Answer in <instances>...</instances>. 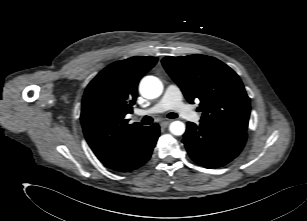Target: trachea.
I'll list each match as a JSON object with an SVG mask.
<instances>
[{
	"label": "trachea",
	"mask_w": 307,
	"mask_h": 221,
	"mask_svg": "<svg viewBox=\"0 0 307 221\" xmlns=\"http://www.w3.org/2000/svg\"><path fill=\"white\" fill-rule=\"evenodd\" d=\"M167 117L173 119V118H177L178 115H177L176 113H169V114L167 115ZM152 122H153V119H152V117H150V116H145V117L142 119V124H144V125H150Z\"/></svg>",
	"instance_id": "3493384b"
}]
</instances>
